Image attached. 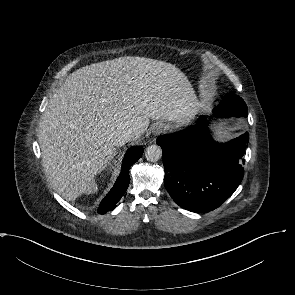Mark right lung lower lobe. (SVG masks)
Instances as JSON below:
<instances>
[{"mask_svg":"<svg viewBox=\"0 0 295 295\" xmlns=\"http://www.w3.org/2000/svg\"><path fill=\"white\" fill-rule=\"evenodd\" d=\"M142 153L143 147L141 146L131 147L127 150L122 162L119 177L117 178L110 192L99 204L97 209L99 214H104L116 207V203L121 199L129 186L130 178L128 170L135 162L139 160V158L142 156Z\"/></svg>","mask_w":295,"mask_h":295,"instance_id":"1","label":"right lung lower lobe"}]
</instances>
